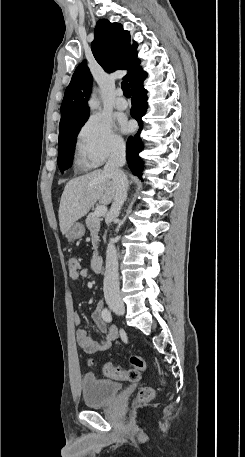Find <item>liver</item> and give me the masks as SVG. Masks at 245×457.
<instances>
[{
    "instance_id": "6515ba94",
    "label": "liver",
    "mask_w": 245,
    "mask_h": 457,
    "mask_svg": "<svg viewBox=\"0 0 245 457\" xmlns=\"http://www.w3.org/2000/svg\"><path fill=\"white\" fill-rule=\"evenodd\" d=\"M116 184L104 170L98 168L67 182L59 206V224L62 235L68 233L70 226L89 212L96 200L109 204L114 200Z\"/></svg>"
}]
</instances>
